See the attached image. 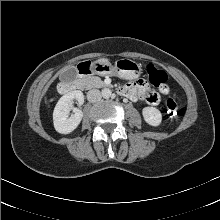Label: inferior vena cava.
<instances>
[{"mask_svg":"<svg viewBox=\"0 0 220 220\" xmlns=\"http://www.w3.org/2000/svg\"><path fill=\"white\" fill-rule=\"evenodd\" d=\"M101 92L98 89H92L87 93V99L91 103H95L101 100Z\"/></svg>","mask_w":220,"mask_h":220,"instance_id":"1","label":"inferior vena cava"}]
</instances>
